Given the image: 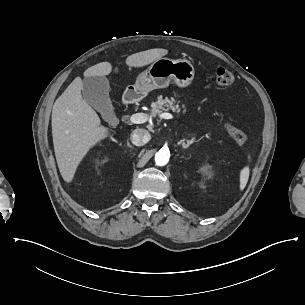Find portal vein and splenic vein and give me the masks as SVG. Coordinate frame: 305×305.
<instances>
[{
	"label": "portal vein and splenic vein",
	"mask_w": 305,
	"mask_h": 305,
	"mask_svg": "<svg viewBox=\"0 0 305 305\" xmlns=\"http://www.w3.org/2000/svg\"><path fill=\"white\" fill-rule=\"evenodd\" d=\"M146 115L143 114V113H136V114H132L130 117H129V122L131 124H140V123H143L146 121ZM162 118L163 119H174V115L171 114V113H163L162 114Z\"/></svg>",
	"instance_id": "18ae733b"
}]
</instances>
